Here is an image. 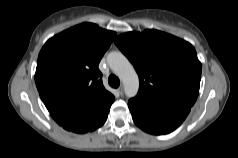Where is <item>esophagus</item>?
Segmentation results:
<instances>
[{
  "mask_svg": "<svg viewBox=\"0 0 238 158\" xmlns=\"http://www.w3.org/2000/svg\"><path fill=\"white\" fill-rule=\"evenodd\" d=\"M118 92H119L120 95H123V93H124V88H123V86H120V87L118 88Z\"/></svg>",
  "mask_w": 238,
  "mask_h": 158,
  "instance_id": "1",
  "label": "esophagus"
}]
</instances>
